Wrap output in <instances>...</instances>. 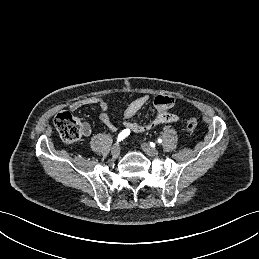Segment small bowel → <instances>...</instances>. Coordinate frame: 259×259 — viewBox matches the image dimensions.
<instances>
[{"label":"small bowel","mask_w":259,"mask_h":259,"mask_svg":"<svg viewBox=\"0 0 259 259\" xmlns=\"http://www.w3.org/2000/svg\"><path fill=\"white\" fill-rule=\"evenodd\" d=\"M149 101L148 95H142L135 100H133L124 112V126L133 132H144L154 128L157 125L164 123H173L179 120L176 114L169 112V109L174 105V99L168 95H158L154 98V107L156 110V115L152 120L149 119V114L144 113L143 118L145 122L142 124L132 121V118L146 105ZM87 105H97L100 110V120L105 124V126L111 130L116 131V126L112 123L108 103L100 97H89L74 101L70 104L69 108L72 111L78 110L81 107ZM82 132L85 136L90 135L91 127L88 122H83Z\"/></svg>","instance_id":"c3829d8e"}]
</instances>
